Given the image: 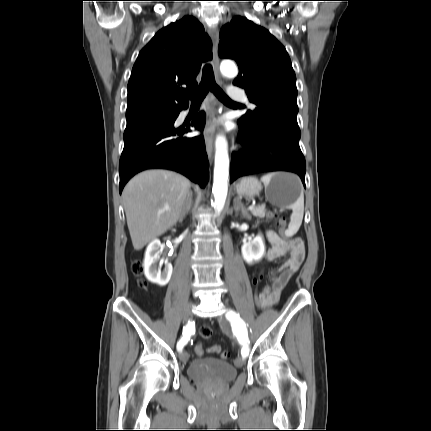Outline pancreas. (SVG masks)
I'll return each instance as SVG.
<instances>
[{
	"label": "pancreas",
	"mask_w": 431,
	"mask_h": 431,
	"mask_svg": "<svg viewBox=\"0 0 431 431\" xmlns=\"http://www.w3.org/2000/svg\"><path fill=\"white\" fill-rule=\"evenodd\" d=\"M251 214L255 217H258V218H265V216L267 218L274 217V215L271 213L266 214V209H265L264 205L255 207L253 210H251Z\"/></svg>",
	"instance_id": "1"
}]
</instances>
